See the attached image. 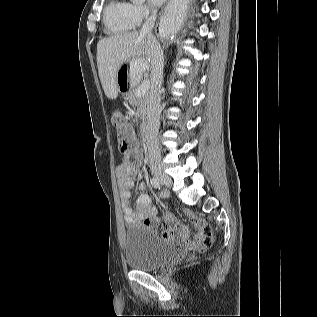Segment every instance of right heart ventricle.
I'll return each mask as SVG.
<instances>
[{"mask_svg":"<svg viewBox=\"0 0 317 317\" xmlns=\"http://www.w3.org/2000/svg\"><path fill=\"white\" fill-rule=\"evenodd\" d=\"M104 24L109 34L118 35L132 30L136 25L130 4L124 0H110L104 9Z\"/></svg>","mask_w":317,"mask_h":317,"instance_id":"obj_1","label":"right heart ventricle"}]
</instances>
